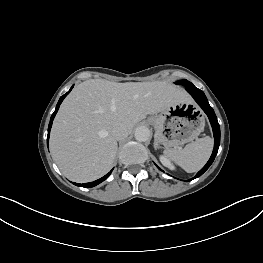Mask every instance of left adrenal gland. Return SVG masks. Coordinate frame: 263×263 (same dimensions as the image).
<instances>
[{"mask_svg":"<svg viewBox=\"0 0 263 263\" xmlns=\"http://www.w3.org/2000/svg\"><path fill=\"white\" fill-rule=\"evenodd\" d=\"M159 146L156 142H154V148L157 149Z\"/></svg>","mask_w":263,"mask_h":263,"instance_id":"obj_1","label":"left adrenal gland"}]
</instances>
